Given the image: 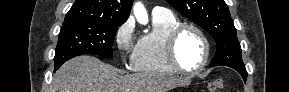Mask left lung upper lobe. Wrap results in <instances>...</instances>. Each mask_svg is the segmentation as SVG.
Masks as SVG:
<instances>
[{
	"mask_svg": "<svg viewBox=\"0 0 289 92\" xmlns=\"http://www.w3.org/2000/svg\"><path fill=\"white\" fill-rule=\"evenodd\" d=\"M180 13L209 32L217 45L211 67L245 68L236 28L224 0H166Z\"/></svg>",
	"mask_w": 289,
	"mask_h": 92,
	"instance_id": "1",
	"label": "left lung upper lobe"
}]
</instances>
